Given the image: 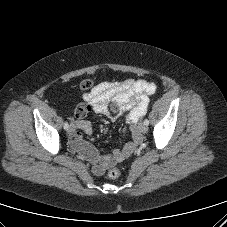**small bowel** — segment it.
Returning a JSON list of instances; mask_svg holds the SVG:
<instances>
[{
  "instance_id": "1",
  "label": "small bowel",
  "mask_w": 227,
  "mask_h": 227,
  "mask_svg": "<svg viewBox=\"0 0 227 227\" xmlns=\"http://www.w3.org/2000/svg\"><path fill=\"white\" fill-rule=\"evenodd\" d=\"M155 91L156 85L153 82L144 79H126L119 82H102L84 95V104L79 105L75 111L77 120L74 131L69 137V145L93 163L92 172L95 175H102L108 167L133 153L141 140L137 123L146 114L149 95ZM91 110L109 114L114 118L125 116L132 141L111 154L99 156L95 148L84 141L79 133V131L87 135L93 133L92 123L83 119Z\"/></svg>"
}]
</instances>
